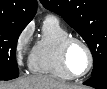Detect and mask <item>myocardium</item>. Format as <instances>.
Returning <instances> with one entry per match:
<instances>
[{
    "label": "myocardium",
    "instance_id": "f54148a6",
    "mask_svg": "<svg viewBox=\"0 0 107 89\" xmlns=\"http://www.w3.org/2000/svg\"><path fill=\"white\" fill-rule=\"evenodd\" d=\"M74 43H78V44L82 45L88 55V66L82 74H74V73H72V71L69 68L68 54H69V50H70L71 46ZM60 59H61V64H62L65 72L71 78H81V77L85 76L86 74H88L91 71V69L93 67V63H94L92 51H91L89 45L86 43V41H84L82 38L72 36V35L66 37L62 41L61 46H60Z\"/></svg>",
    "mask_w": 107,
    "mask_h": 89
}]
</instances>
